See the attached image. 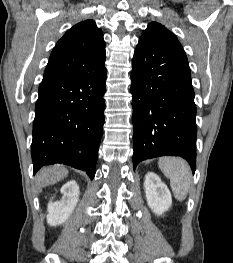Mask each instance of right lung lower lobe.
<instances>
[{
	"mask_svg": "<svg viewBox=\"0 0 233 263\" xmlns=\"http://www.w3.org/2000/svg\"><path fill=\"white\" fill-rule=\"evenodd\" d=\"M105 60L85 76L42 80L35 106L34 173L63 163L95 175L104 123Z\"/></svg>",
	"mask_w": 233,
	"mask_h": 263,
	"instance_id": "right-lung-lower-lobe-1",
	"label": "right lung lower lobe"
}]
</instances>
